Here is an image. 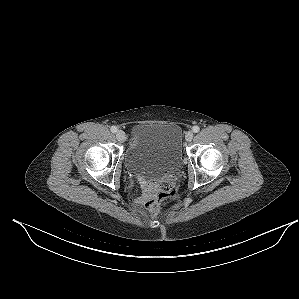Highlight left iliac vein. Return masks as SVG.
<instances>
[{
  "label": "left iliac vein",
  "mask_w": 299,
  "mask_h": 299,
  "mask_svg": "<svg viewBox=\"0 0 299 299\" xmlns=\"http://www.w3.org/2000/svg\"><path fill=\"white\" fill-rule=\"evenodd\" d=\"M186 141L190 142L193 139V132L188 131L185 136Z\"/></svg>",
  "instance_id": "4c4485c4"
}]
</instances>
